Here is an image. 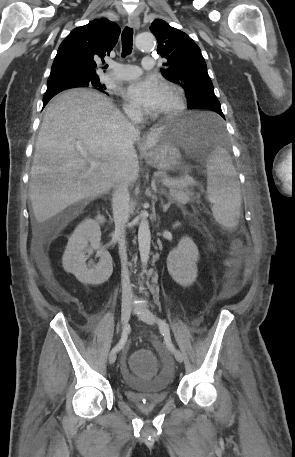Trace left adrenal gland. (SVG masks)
Masks as SVG:
<instances>
[{"instance_id":"obj_1","label":"left adrenal gland","mask_w":295,"mask_h":457,"mask_svg":"<svg viewBox=\"0 0 295 457\" xmlns=\"http://www.w3.org/2000/svg\"><path fill=\"white\" fill-rule=\"evenodd\" d=\"M161 204H162V206H163L164 211H166V210L169 208V206H170V202H168L167 204H163V201H162V200H161Z\"/></svg>"}]
</instances>
